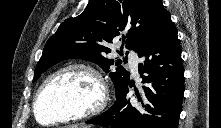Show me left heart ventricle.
<instances>
[{"label":"left heart ventricle","mask_w":221,"mask_h":128,"mask_svg":"<svg viewBox=\"0 0 221 128\" xmlns=\"http://www.w3.org/2000/svg\"><path fill=\"white\" fill-rule=\"evenodd\" d=\"M95 92V82L88 74L79 70L64 72L46 85L37 105V117L49 123L80 112L91 103Z\"/></svg>","instance_id":"b2bd125f"}]
</instances>
